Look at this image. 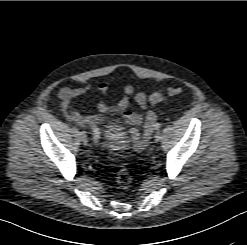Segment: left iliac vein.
I'll return each instance as SVG.
<instances>
[{"label": "left iliac vein", "mask_w": 247, "mask_h": 245, "mask_svg": "<svg viewBox=\"0 0 247 245\" xmlns=\"http://www.w3.org/2000/svg\"><path fill=\"white\" fill-rule=\"evenodd\" d=\"M160 139H161V133H160L159 131H157V132L155 133V135H154V140H155L156 142H159Z\"/></svg>", "instance_id": "obj_1"}]
</instances>
